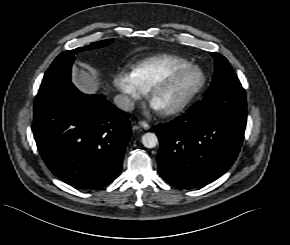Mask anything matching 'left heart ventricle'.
Masks as SVG:
<instances>
[{
    "label": "left heart ventricle",
    "mask_w": 290,
    "mask_h": 245,
    "mask_svg": "<svg viewBox=\"0 0 290 245\" xmlns=\"http://www.w3.org/2000/svg\"><path fill=\"white\" fill-rule=\"evenodd\" d=\"M200 75L195 71H189L177 77L160 89L153 102L161 109L172 107L181 101L199 82Z\"/></svg>",
    "instance_id": "b2bd125f"
}]
</instances>
